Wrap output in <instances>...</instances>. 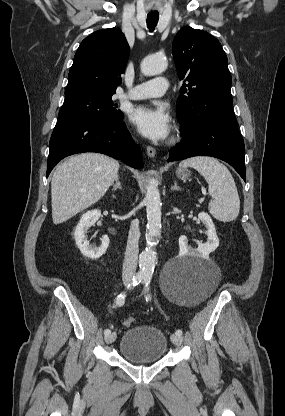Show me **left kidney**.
Here are the masks:
<instances>
[{
    "label": "left kidney",
    "instance_id": "5707ae66",
    "mask_svg": "<svg viewBox=\"0 0 285 416\" xmlns=\"http://www.w3.org/2000/svg\"><path fill=\"white\" fill-rule=\"evenodd\" d=\"M198 218L207 226V242H205V244H199L198 248L193 250L191 246H188V238H186V236H180L179 248L181 252H185V254H195V256H202V258H204V256H209L211 252H214V250L218 248L219 238L216 234L215 226L208 214L200 212Z\"/></svg>",
    "mask_w": 285,
    "mask_h": 416
}]
</instances>
